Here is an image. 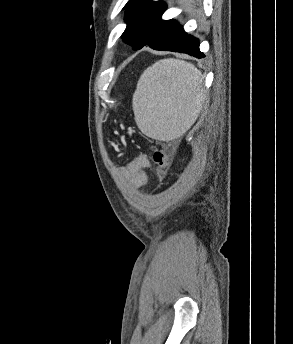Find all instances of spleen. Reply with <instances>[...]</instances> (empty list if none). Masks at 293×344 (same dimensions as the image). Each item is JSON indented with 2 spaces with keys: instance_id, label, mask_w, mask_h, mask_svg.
<instances>
[{
  "instance_id": "spleen-1",
  "label": "spleen",
  "mask_w": 293,
  "mask_h": 344,
  "mask_svg": "<svg viewBox=\"0 0 293 344\" xmlns=\"http://www.w3.org/2000/svg\"><path fill=\"white\" fill-rule=\"evenodd\" d=\"M203 97L202 74L194 65L157 61L143 72L133 95L136 124L150 138H177L196 121Z\"/></svg>"
}]
</instances>
